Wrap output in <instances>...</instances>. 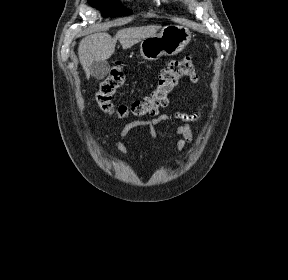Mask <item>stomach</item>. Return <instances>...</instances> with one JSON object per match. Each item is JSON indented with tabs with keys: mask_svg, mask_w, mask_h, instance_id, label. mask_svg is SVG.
Here are the masks:
<instances>
[{
	"mask_svg": "<svg viewBox=\"0 0 288 280\" xmlns=\"http://www.w3.org/2000/svg\"><path fill=\"white\" fill-rule=\"evenodd\" d=\"M190 40L191 33L186 27L168 25L160 33L142 39L140 54L149 61L157 60L163 55L173 56L181 52Z\"/></svg>",
	"mask_w": 288,
	"mask_h": 280,
	"instance_id": "obj_1",
	"label": "stomach"
}]
</instances>
